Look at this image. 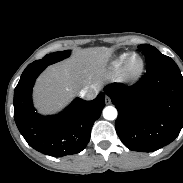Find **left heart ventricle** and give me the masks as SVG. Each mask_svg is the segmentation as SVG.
Returning a JSON list of instances; mask_svg holds the SVG:
<instances>
[{"label": "left heart ventricle", "mask_w": 183, "mask_h": 183, "mask_svg": "<svg viewBox=\"0 0 183 183\" xmlns=\"http://www.w3.org/2000/svg\"><path fill=\"white\" fill-rule=\"evenodd\" d=\"M137 63V59L134 58L133 61H132V64L135 65Z\"/></svg>", "instance_id": "left-heart-ventricle-1"}]
</instances>
